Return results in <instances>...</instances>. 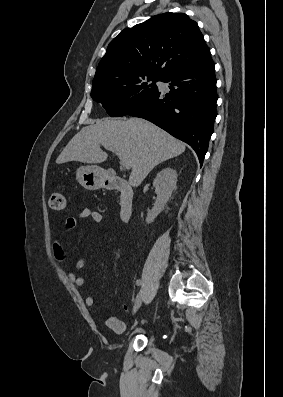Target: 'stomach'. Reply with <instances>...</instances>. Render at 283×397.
Instances as JSON below:
<instances>
[{"mask_svg":"<svg viewBox=\"0 0 283 397\" xmlns=\"http://www.w3.org/2000/svg\"><path fill=\"white\" fill-rule=\"evenodd\" d=\"M78 182L88 190L104 187L107 173L98 166H81L76 171Z\"/></svg>","mask_w":283,"mask_h":397,"instance_id":"stomach-1","label":"stomach"}]
</instances>
